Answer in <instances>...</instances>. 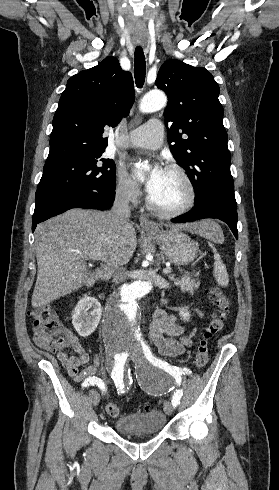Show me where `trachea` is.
Segmentation results:
<instances>
[{"mask_svg": "<svg viewBox=\"0 0 279 490\" xmlns=\"http://www.w3.org/2000/svg\"><path fill=\"white\" fill-rule=\"evenodd\" d=\"M134 75L136 85L138 88H141L144 84L146 75L145 56L141 47H136L135 49Z\"/></svg>", "mask_w": 279, "mask_h": 490, "instance_id": "1", "label": "trachea"}]
</instances>
